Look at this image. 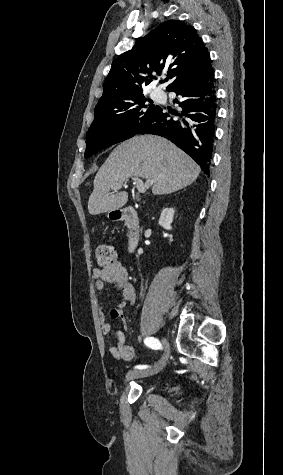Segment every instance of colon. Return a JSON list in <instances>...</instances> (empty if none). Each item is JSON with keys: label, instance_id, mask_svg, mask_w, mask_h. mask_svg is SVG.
<instances>
[{"label": "colon", "instance_id": "1", "mask_svg": "<svg viewBox=\"0 0 283 475\" xmlns=\"http://www.w3.org/2000/svg\"><path fill=\"white\" fill-rule=\"evenodd\" d=\"M95 257L100 267H109L115 265L117 255L111 245L99 244L95 247Z\"/></svg>", "mask_w": 283, "mask_h": 475}]
</instances>
